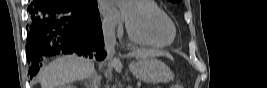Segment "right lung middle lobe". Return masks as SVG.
<instances>
[{
  "instance_id": "obj_1",
  "label": "right lung middle lobe",
  "mask_w": 267,
  "mask_h": 88,
  "mask_svg": "<svg viewBox=\"0 0 267 88\" xmlns=\"http://www.w3.org/2000/svg\"><path fill=\"white\" fill-rule=\"evenodd\" d=\"M71 3L78 7V8H83V9H90V10H93V9H98L97 8V0H70Z\"/></svg>"
}]
</instances>
